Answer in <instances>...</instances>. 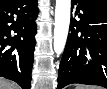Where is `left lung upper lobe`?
<instances>
[{"instance_id":"obj_1","label":"left lung upper lobe","mask_w":107,"mask_h":89,"mask_svg":"<svg viewBox=\"0 0 107 89\" xmlns=\"http://www.w3.org/2000/svg\"><path fill=\"white\" fill-rule=\"evenodd\" d=\"M84 1L107 7V1L106 0H84Z\"/></svg>"}]
</instances>
